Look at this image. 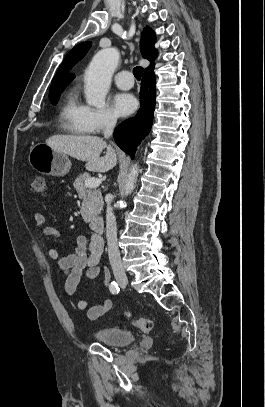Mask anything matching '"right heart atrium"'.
<instances>
[{"label":"right heart atrium","mask_w":265,"mask_h":407,"mask_svg":"<svg viewBox=\"0 0 265 407\" xmlns=\"http://www.w3.org/2000/svg\"><path fill=\"white\" fill-rule=\"evenodd\" d=\"M85 121L91 132L100 133L113 128L117 123V116L107 107L85 106Z\"/></svg>","instance_id":"d8ad5b80"}]
</instances>
